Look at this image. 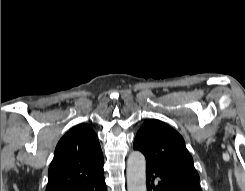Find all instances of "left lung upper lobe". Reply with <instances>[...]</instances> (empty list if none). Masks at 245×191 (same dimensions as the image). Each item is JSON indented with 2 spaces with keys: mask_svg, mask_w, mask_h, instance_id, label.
I'll list each match as a JSON object with an SVG mask.
<instances>
[{
  "mask_svg": "<svg viewBox=\"0 0 245 191\" xmlns=\"http://www.w3.org/2000/svg\"><path fill=\"white\" fill-rule=\"evenodd\" d=\"M134 149L146 158V166L173 177L191 188H200V178L183 137L166 123L147 120L139 129Z\"/></svg>",
  "mask_w": 245,
  "mask_h": 191,
  "instance_id": "left-lung-upper-lobe-1",
  "label": "left lung upper lobe"
}]
</instances>
